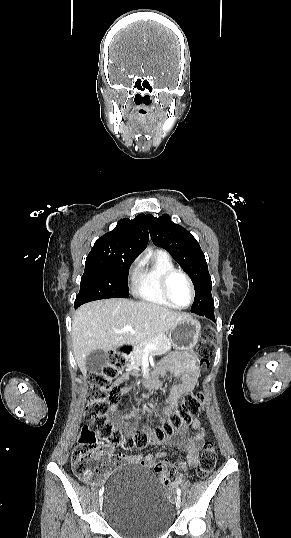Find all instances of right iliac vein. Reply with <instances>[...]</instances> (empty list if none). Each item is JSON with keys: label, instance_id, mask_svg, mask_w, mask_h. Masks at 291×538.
<instances>
[{"label": "right iliac vein", "instance_id": "right-iliac-vein-1", "mask_svg": "<svg viewBox=\"0 0 291 538\" xmlns=\"http://www.w3.org/2000/svg\"><path fill=\"white\" fill-rule=\"evenodd\" d=\"M102 501H103V497H100L99 499L100 504H102Z\"/></svg>", "mask_w": 291, "mask_h": 538}]
</instances>
